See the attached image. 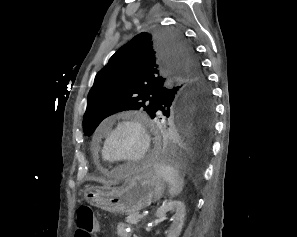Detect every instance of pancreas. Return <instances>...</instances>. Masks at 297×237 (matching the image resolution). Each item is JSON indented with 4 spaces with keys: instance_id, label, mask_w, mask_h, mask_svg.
<instances>
[{
    "instance_id": "obj_1",
    "label": "pancreas",
    "mask_w": 297,
    "mask_h": 237,
    "mask_svg": "<svg viewBox=\"0 0 297 237\" xmlns=\"http://www.w3.org/2000/svg\"><path fill=\"white\" fill-rule=\"evenodd\" d=\"M141 220V218H139V213L136 212V213H133V214H130L126 217V222L128 224H132V225H136L138 224V222Z\"/></svg>"
}]
</instances>
